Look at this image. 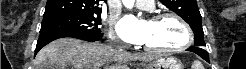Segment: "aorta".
<instances>
[{"instance_id":"1","label":"aorta","mask_w":246,"mask_h":69,"mask_svg":"<svg viewBox=\"0 0 246 69\" xmlns=\"http://www.w3.org/2000/svg\"><path fill=\"white\" fill-rule=\"evenodd\" d=\"M122 2L127 8H132L134 5V0H122Z\"/></svg>"}]
</instances>
